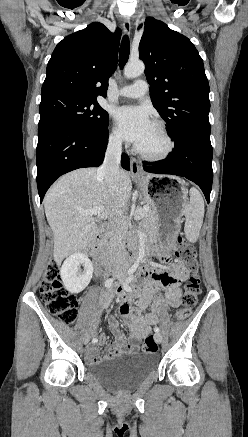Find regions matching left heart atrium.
<instances>
[{
    "label": "left heart atrium",
    "instance_id": "1",
    "mask_svg": "<svg viewBox=\"0 0 248 437\" xmlns=\"http://www.w3.org/2000/svg\"><path fill=\"white\" fill-rule=\"evenodd\" d=\"M114 118L121 137L135 145L143 140L153 125L147 109L140 106L120 107Z\"/></svg>",
    "mask_w": 248,
    "mask_h": 437
}]
</instances>
